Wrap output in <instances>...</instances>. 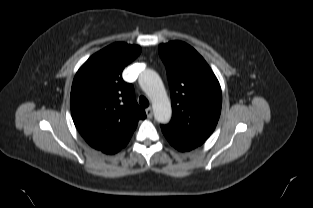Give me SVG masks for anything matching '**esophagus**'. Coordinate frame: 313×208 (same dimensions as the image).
<instances>
[{"mask_svg": "<svg viewBox=\"0 0 313 208\" xmlns=\"http://www.w3.org/2000/svg\"><path fill=\"white\" fill-rule=\"evenodd\" d=\"M145 112H146V115H147V118H152V116H153V110H152V108L151 107H148L146 110H145Z\"/></svg>", "mask_w": 313, "mask_h": 208, "instance_id": "34e87169", "label": "esophagus"}]
</instances>
